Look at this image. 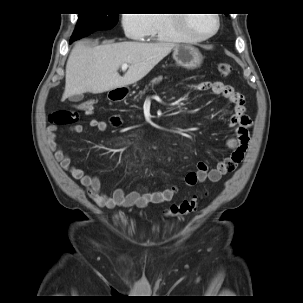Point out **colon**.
<instances>
[{"mask_svg":"<svg viewBox=\"0 0 303 303\" xmlns=\"http://www.w3.org/2000/svg\"><path fill=\"white\" fill-rule=\"evenodd\" d=\"M232 68L230 64L226 62H221L218 64V71L220 74L226 76L230 74ZM96 99H90L79 104V108L86 112H90L96 105ZM78 120L77 113L72 110L61 109L53 112L49 116V122L55 125H69L73 124ZM198 207V201L196 197L184 200L180 203H175L171 205L168 213L174 217L185 216L196 211Z\"/></svg>","mask_w":303,"mask_h":303,"instance_id":"colon-1","label":"colon"}]
</instances>
